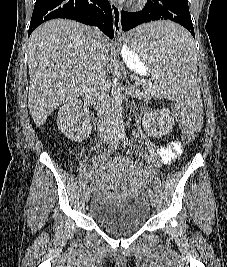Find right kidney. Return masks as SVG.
I'll return each mask as SVG.
<instances>
[{"label":"right kidney","instance_id":"1","mask_svg":"<svg viewBox=\"0 0 227 267\" xmlns=\"http://www.w3.org/2000/svg\"><path fill=\"white\" fill-rule=\"evenodd\" d=\"M83 103L79 99L68 101L57 115V125L61 132L70 140L81 142L91 133L92 124L89 118L81 121Z\"/></svg>","mask_w":227,"mask_h":267}]
</instances>
